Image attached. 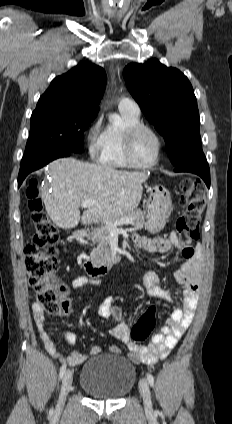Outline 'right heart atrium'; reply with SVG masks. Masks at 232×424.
Listing matches in <instances>:
<instances>
[{
    "instance_id": "right-heart-atrium-1",
    "label": "right heart atrium",
    "mask_w": 232,
    "mask_h": 424,
    "mask_svg": "<svg viewBox=\"0 0 232 424\" xmlns=\"http://www.w3.org/2000/svg\"><path fill=\"white\" fill-rule=\"evenodd\" d=\"M100 119H95L87 128L86 144L88 153L91 157H95L101 149L100 134L98 132Z\"/></svg>"
}]
</instances>
